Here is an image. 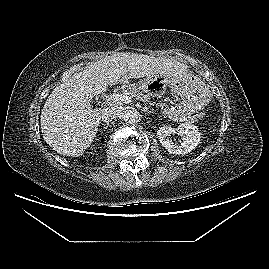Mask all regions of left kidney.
I'll return each mask as SVG.
<instances>
[{
	"instance_id": "obj_1",
	"label": "left kidney",
	"mask_w": 269,
	"mask_h": 269,
	"mask_svg": "<svg viewBox=\"0 0 269 269\" xmlns=\"http://www.w3.org/2000/svg\"><path fill=\"white\" fill-rule=\"evenodd\" d=\"M177 133L182 141L180 144L173 143L169 136ZM157 138L162 146L172 154H186L195 149L200 143L201 133L195 125L182 123L175 130L171 127H161L157 131Z\"/></svg>"
}]
</instances>
